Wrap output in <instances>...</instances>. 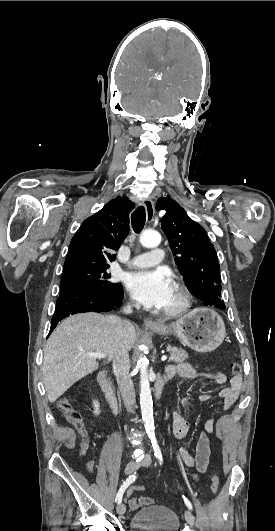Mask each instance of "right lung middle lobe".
<instances>
[{"label":"right lung middle lobe","instance_id":"1","mask_svg":"<svg viewBox=\"0 0 275 531\" xmlns=\"http://www.w3.org/2000/svg\"><path fill=\"white\" fill-rule=\"evenodd\" d=\"M108 268L109 266H82L63 271L61 287L79 284L93 287L100 292L112 291L120 284L109 281L111 276L107 273Z\"/></svg>","mask_w":275,"mask_h":531}]
</instances>
